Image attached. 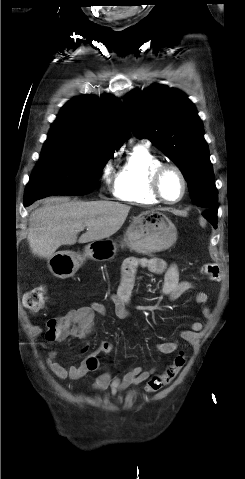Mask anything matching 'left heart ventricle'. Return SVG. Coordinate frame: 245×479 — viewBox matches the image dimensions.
Wrapping results in <instances>:
<instances>
[{
  "label": "left heart ventricle",
  "mask_w": 245,
  "mask_h": 479,
  "mask_svg": "<svg viewBox=\"0 0 245 479\" xmlns=\"http://www.w3.org/2000/svg\"><path fill=\"white\" fill-rule=\"evenodd\" d=\"M162 191L168 200H176L182 191L179 177L173 171L165 174L162 180Z\"/></svg>",
  "instance_id": "left-heart-ventricle-1"
}]
</instances>
